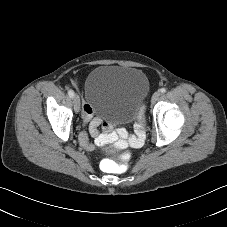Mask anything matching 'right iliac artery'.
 Masks as SVG:
<instances>
[{
	"label": "right iliac artery",
	"instance_id": "right-iliac-artery-1",
	"mask_svg": "<svg viewBox=\"0 0 227 227\" xmlns=\"http://www.w3.org/2000/svg\"><path fill=\"white\" fill-rule=\"evenodd\" d=\"M68 95H69L71 98H73V97H74V92H73V90H69V91H68Z\"/></svg>",
	"mask_w": 227,
	"mask_h": 227
}]
</instances>
